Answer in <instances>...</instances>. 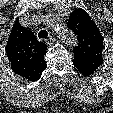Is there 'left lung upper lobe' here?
Wrapping results in <instances>:
<instances>
[{
	"instance_id": "5c2ea615",
	"label": "left lung upper lobe",
	"mask_w": 113,
	"mask_h": 113,
	"mask_svg": "<svg viewBox=\"0 0 113 113\" xmlns=\"http://www.w3.org/2000/svg\"><path fill=\"white\" fill-rule=\"evenodd\" d=\"M67 26L77 35L79 42L73 51L75 67L93 74L103 63V37L99 29L88 13L81 8L70 14Z\"/></svg>"
}]
</instances>
